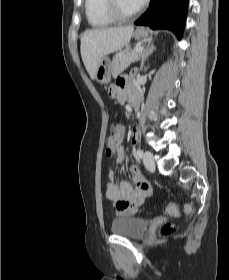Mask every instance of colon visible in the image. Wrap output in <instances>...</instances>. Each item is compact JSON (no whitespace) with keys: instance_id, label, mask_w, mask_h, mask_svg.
I'll return each instance as SVG.
<instances>
[{"instance_id":"1","label":"colon","mask_w":229,"mask_h":280,"mask_svg":"<svg viewBox=\"0 0 229 280\" xmlns=\"http://www.w3.org/2000/svg\"><path fill=\"white\" fill-rule=\"evenodd\" d=\"M123 138V129L121 125L115 123L112 125L110 133L106 137V142H105V154L107 157H111L114 151L117 149L119 146L120 142L122 141ZM132 203V199H125L121 200L118 202V204L122 207L128 206ZM175 207L170 206L168 208V212H174ZM193 211V208L191 206L186 207V212L191 213ZM172 231V228L170 226H163L161 228V234L166 235L169 234Z\"/></svg>"}]
</instances>
